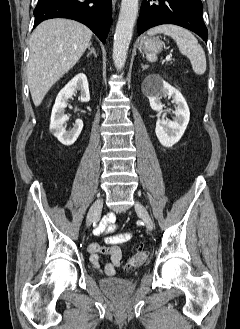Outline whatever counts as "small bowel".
<instances>
[{"instance_id":"obj_1","label":"small bowel","mask_w":240,"mask_h":329,"mask_svg":"<svg viewBox=\"0 0 240 329\" xmlns=\"http://www.w3.org/2000/svg\"><path fill=\"white\" fill-rule=\"evenodd\" d=\"M115 219V215L109 213L96 228L97 234L102 233L108 235L105 239L108 245L90 243L88 246L91 264L108 276L116 275L117 269L122 263V253L117 245L130 238L129 233L112 234L116 229V225L114 224ZM103 256L108 257L109 261H104Z\"/></svg>"}]
</instances>
